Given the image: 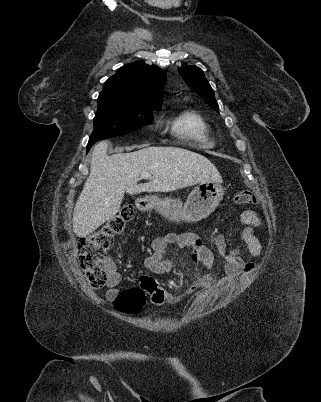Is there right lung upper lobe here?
<instances>
[{"label": "right lung upper lobe", "mask_w": 321, "mask_h": 402, "mask_svg": "<svg viewBox=\"0 0 321 402\" xmlns=\"http://www.w3.org/2000/svg\"><path fill=\"white\" fill-rule=\"evenodd\" d=\"M165 82L166 73L159 67L134 62L119 68L104 83L99 97L161 106Z\"/></svg>", "instance_id": "1"}]
</instances>
